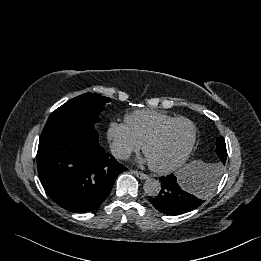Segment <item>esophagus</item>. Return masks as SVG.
<instances>
[{
    "instance_id": "esophagus-1",
    "label": "esophagus",
    "mask_w": 261,
    "mask_h": 261,
    "mask_svg": "<svg viewBox=\"0 0 261 261\" xmlns=\"http://www.w3.org/2000/svg\"><path fill=\"white\" fill-rule=\"evenodd\" d=\"M131 172H132L133 174H135V175H136L139 179H141V180H145V179L148 178V175H147V174L142 173V172H140V171L132 170Z\"/></svg>"
}]
</instances>
